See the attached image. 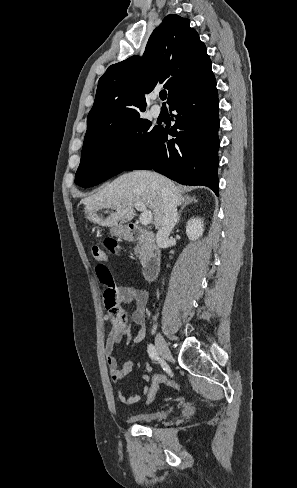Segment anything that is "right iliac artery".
Masks as SVG:
<instances>
[{"instance_id": "1", "label": "right iliac artery", "mask_w": 297, "mask_h": 488, "mask_svg": "<svg viewBox=\"0 0 297 488\" xmlns=\"http://www.w3.org/2000/svg\"><path fill=\"white\" fill-rule=\"evenodd\" d=\"M147 351H148L149 357H150L152 360H158V359H159L158 352H157V350H156V348H155V346H154V345L149 344V345H148V349H147Z\"/></svg>"}]
</instances>
